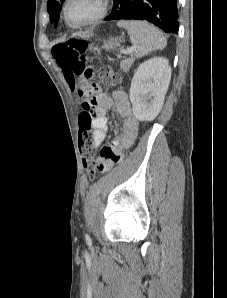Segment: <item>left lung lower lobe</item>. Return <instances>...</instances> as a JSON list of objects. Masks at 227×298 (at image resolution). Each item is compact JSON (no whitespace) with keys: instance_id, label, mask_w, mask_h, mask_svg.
Masks as SVG:
<instances>
[{"instance_id":"obj_1","label":"left lung lower lobe","mask_w":227,"mask_h":298,"mask_svg":"<svg viewBox=\"0 0 227 298\" xmlns=\"http://www.w3.org/2000/svg\"><path fill=\"white\" fill-rule=\"evenodd\" d=\"M105 20H147L167 33H178L177 0H114Z\"/></svg>"}]
</instances>
